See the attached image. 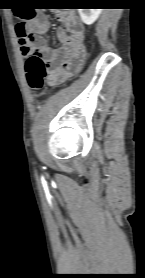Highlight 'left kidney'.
<instances>
[{
	"label": "left kidney",
	"mask_w": 145,
	"mask_h": 278,
	"mask_svg": "<svg viewBox=\"0 0 145 278\" xmlns=\"http://www.w3.org/2000/svg\"><path fill=\"white\" fill-rule=\"evenodd\" d=\"M102 9H78L82 21L87 24H93L101 14Z\"/></svg>",
	"instance_id": "5707ae66"
}]
</instances>
